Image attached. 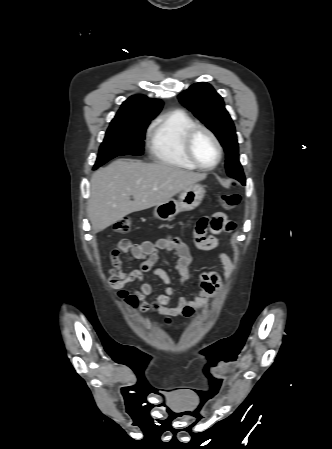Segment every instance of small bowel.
I'll return each instance as SVG.
<instances>
[{
    "mask_svg": "<svg viewBox=\"0 0 332 449\" xmlns=\"http://www.w3.org/2000/svg\"><path fill=\"white\" fill-rule=\"evenodd\" d=\"M236 225L226 214L218 212L211 218L201 217L195 224L193 231V242L197 249L204 253H212L218 247V235L221 233L231 234ZM129 249L133 257L141 259L139 268L124 271L120 266L110 269L109 284L116 289L125 288L130 282H138L139 286L133 289L132 294L140 301V309L143 312L155 311L167 316H192L195 312L204 309L211 298L221 290L223 282L217 271H205L200 276L199 287L188 297L180 295L174 306L170 305L174 294L171 279L167 272L161 268H154L159 259V251L165 250L171 253L175 261V269L180 275L181 284L190 279V265L193 256L188 245L179 237L166 236L155 242L144 241L140 244L129 242ZM216 258L223 267V274L228 279L234 271V262L224 252H216ZM152 272L153 275L162 280L165 285L164 293H155L151 284L145 279V274ZM153 296L154 301L149 303L146 298Z\"/></svg>",
    "mask_w": 332,
    "mask_h": 449,
    "instance_id": "obj_1",
    "label": "small bowel"
}]
</instances>
